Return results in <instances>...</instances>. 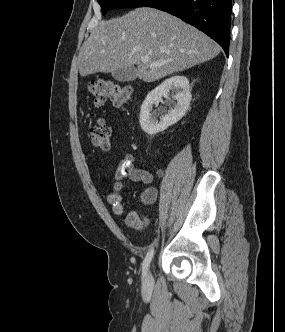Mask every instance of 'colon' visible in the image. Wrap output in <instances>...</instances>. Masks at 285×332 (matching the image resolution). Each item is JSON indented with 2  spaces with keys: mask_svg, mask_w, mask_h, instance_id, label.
<instances>
[{
  "mask_svg": "<svg viewBox=\"0 0 285 332\" xmlns=\"http://www.w3.org/2000/svg\"><path fill=\"white\" fill-rule=\"evenodd\" d=\"M89 92L96 107H101L106 100H111L117 108H123L132 98V88L113 80L97 79L89 84ZM110 127L98 119L90 127L92 144L101 150H107L110 146Z\"/></svg>",
  "mask_w": 285,
  "mask_h": 332,
  "instance_id": "5ec220e1",
  "label": "colon"
}]
</instances>
